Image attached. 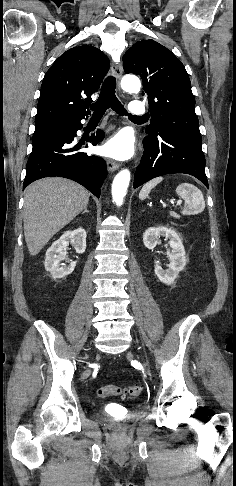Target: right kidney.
I'll return each mask as SVG.
<instances>
[{"instance_id": "ca27d5eb", "label": "right kidney", "mask_w": 236, "mask_h": 486, "mask_svg": "<svg viewBox=\"0 0 236 486\" xmlns=\"http://www.w3.org/2000/svg\"><path fill=\"white\" fill-rule=\"evenodd\" d=\"M86 231L78 228L73 231H66L57 241H55L46 252L45 269L50 272L53 279H60L71 274L75 267L76 261L69 265L61 263L66 260V249L69 243L73 244L76 253L82 254L86 249Z\"/></svg>"}]
</instances>
